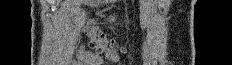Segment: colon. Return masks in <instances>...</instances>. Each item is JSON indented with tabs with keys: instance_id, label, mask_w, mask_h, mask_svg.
I'll use <instances>...</instances> for the list:
<instances>
[{
	"instance_id": "1",
	"label": "colon",
	"mask_w": 232,
	"mask_h": 65,
	"mask_svg": "<svg viewBox=\"0 0 232 65\" xmlns=\"http://www.w3.org/2000/svg\"><path fill=\"white\" fill-rule=\"evenodd\" d=\"M88 34L91 38V45L100 53H111L112 46L109 44L102 33V31L94 26L91 25L88 30Z\"/></svg>"
}]
</instances>
